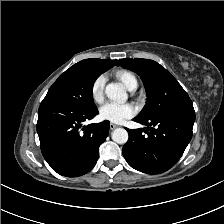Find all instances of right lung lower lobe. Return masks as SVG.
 <instances>
[{
    "instance_id": "98d812e1",
    "label": "right lung lower lobe",
    "mask_w": 224,
    "mask_h": 224,
    "mask_svg": "<svg viewBox=\"0 0 224 224\" xmlns=\"http://www.w3.org/2000/svg\"><path fill=\"white\" fill-rule=\"evenodd\" d=\"M98 110L85 111L55 100H43L38 110L37 132L42 154L60 175L81 176L96 164L99 146L105 141L110 123L82 126Z\"/></svg>"
}]
</instances>
